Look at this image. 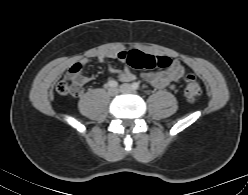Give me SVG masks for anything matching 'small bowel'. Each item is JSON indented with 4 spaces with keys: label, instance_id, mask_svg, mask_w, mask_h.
<instances>
[{
    "label": "small bowel",
    "instance_id": "c3829d8e",
    "mask_svg": "<svg viewBox=\"0 0 248 195\" xmlns=\"http://www.w3.org/2000/svg\"><path fill=\"white\" fill-rule=\"evenodd\" d=\"M126 52L121 51L117 52L111 56L100 55L97 56V59L100 61H106L108 59H117L119 61H125L120 57H123ZM94 59V57H85L81 59L78 63L74 64L70 67L68 73H72L76 69L82 70ZM186 75L185 68L178 60H173L171 65L165 69L160 71H153V72H144L142 74V78L147 83L151 84L156 88H165V87H174L182 78ZM119 76L121 80L125 82H130L135 79V75L132 71L127 67L124 66L122 70L119 72ZM91 79L89 76H83V82H88Z\"/></svg>",
    "mask_w": 248,
    "mask_h": 195
}]
</instances>
